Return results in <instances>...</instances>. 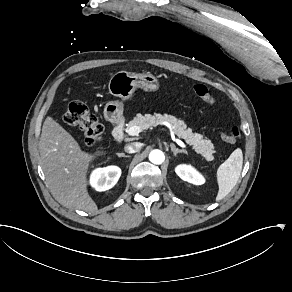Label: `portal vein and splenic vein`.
Returning a JSON list of instances; mask_svg holds the SVG:
<instances>
[{
	"mask_svg": "<svg viewBox=\"0 0 292 292\" xmlns=\"http://www.w3.org/2000/svg\"><path fill=\"white\" fill-rule=\"evenodd\" d=\"M126 132H127L129 135H131V136H135V135H138V134L141 132V129H140V127H138V126H133V127L129 128V129H127ZM174 141H175L179 146H181V147H185V144H184L181 140H179V139H175Z\"/></svg>",
	"mask_w": 292,
	"mask_h": 292,
	"instance_id": "1",
	"label": "portal vein and splenic vein"
}]
</instances>
